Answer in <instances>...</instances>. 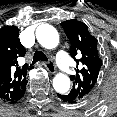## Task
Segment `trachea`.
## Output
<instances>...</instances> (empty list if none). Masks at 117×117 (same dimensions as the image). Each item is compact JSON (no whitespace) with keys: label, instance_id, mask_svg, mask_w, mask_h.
Instances as JSON below:
<instances>
[{"label":"trachea","instance_id":"trachea-1","mask_svg":"<svg viewBox=\"0 0 117 117\" xmlns=\"http://www.w3.org/2000/svg\"><path fill=\"white\" fill-rule=\"evenodd\" d=\"M38 61H48L47 56L42 52V51H35L34 56H33V62L31 65L35 64Z\"/></svg>","mask_w":117,"mask_h":117}]
</instances>
